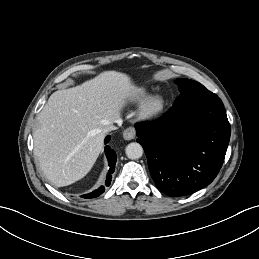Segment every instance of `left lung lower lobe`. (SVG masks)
<instances>
[{
	"label": "left lung lower lobe",
	"mask_w": 259,
	"mask_h": 259,
	"mask_svg": "<svg viewBox=\"0 0 259 259\" xmlns=\"http://www.w3.org/2000/svg\"><path fill=\"white\" fill-rule=\"evenodd\" d=\"M135 128L157 188L172 197L190 195L215 179L231 133L219 97L170 109Z\"/></svg>",
	"instance_id": "0a47b994"
}]
</instances>
